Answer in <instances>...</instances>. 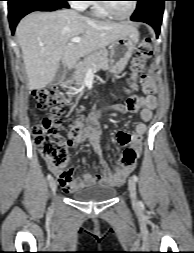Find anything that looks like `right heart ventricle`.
<instances>
[{"mask_svg": "<svg viewBox=\"0 0 194 253\" xmlns=\"http://www.w3.org/2000/svg\"><path fill=\"white\" fill-rule=\"evenodd\" d=\"M91 13L93 16L98 17V18L108 17V15L96 3L91 5Z\"/></svg>", "mask_w": 194, "mask_h": 253, "instance_id": "1", "label": "right heart ventricle"}]
</instances>
